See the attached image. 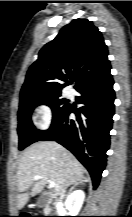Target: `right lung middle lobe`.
Segmentation results:
<instances>
[{
    "label": "right lung middle lobe",
    "mask_w": 132,
    "mask_h": 217,
    "mask_svg": "<svg viewBox=\"0 0 132 217\" xmlns=\"http://www.w3.org/2000/svg\"><path fill=\"white\" fill-rule=\"evenodd\" d=\"M61 94L25 96L20 98L18 111L19 150L39 141L47 132L35 128L31 121V113L36 106L48 105L53 112L52 125L60 115L69 107L67 100L60 98Z\"/></svg>",
    "instance_id": "dd1d6c3e"
}]
</instances>
